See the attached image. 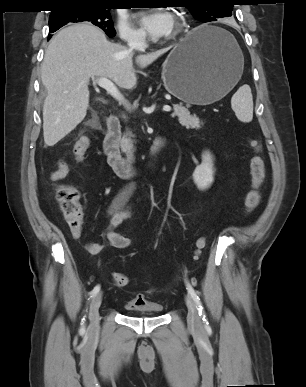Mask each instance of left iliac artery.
<instances>
[{
    "mask_svg": "<svg viewBox=\"0 0 306 387\" xmlns=\"http://www.w3.org/2000/svg\"><path fill=\"white\" fill-rule=\"evenodd\" d=\"M186 287H187L188 293L191 295V297L193 298L194 302L197 305L199 315L201 316L205 327L209 328L206 314L204 311V307L200 301L199 296L197 295L196 291L194 290V288L191 286V284L188 281H186Z\"/></svg>",
    "mask_w": 306,
    "mask_h": 387,
    "instance_id": "44dca946",
    "label": "left iliac artery"
}]
</instances>
